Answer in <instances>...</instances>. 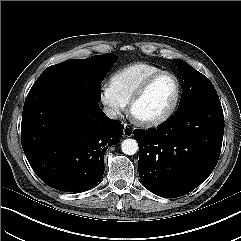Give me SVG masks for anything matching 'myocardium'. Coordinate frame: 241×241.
Segmentation results:
<instances>
[{
  "label": "myocardium",
  "instance_id": "f54148a6",
  "mask_svg": "<svg viewBox=\"0 0 241 241\" xmlns=\"http://www.w3.org/2000/svg\"><path fill=\"white\" fill-rule=\"evenodd\" d=\"M163 76H171L175 82H176V94L174 97V100L170 107L160 116L152 118V119H142L136 116L134 109L137 103L146 95L148 90L151 88V86L161 77ZM182 94V85L179 77L171 72L162 70L160 72H157L150 76L148 79H146L142 85L138 88V90L134 93L132 96L130 102H129V113L131 118L140 126L152 128L162 125L163 123L167 122L175 113L177 110V107L179 105L180 99Z\"/></svg>",
  "mask_w": 241,
  "mask_h": 241
}]
</instances>
